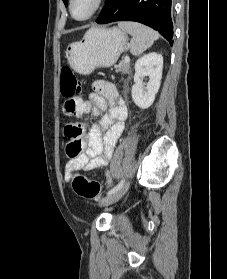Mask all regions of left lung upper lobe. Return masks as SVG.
<instances>
[{
    "mask_svg": "<svg viewBox=\"0 0 227 279\" xmlns=\"http://www.w3.org/2000/svg\"><path fill=\"white\" fill-rule=\"evenodd\" d=\"M64 4L67 6V0H63Z\"/></svg>",
    "mask_w": 227,
    "mask_h": 279,
    "instance_id": "obj_1",
    "label": "left lung upper lobe"
}]
</instances>
